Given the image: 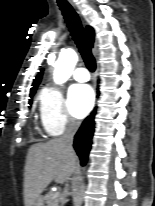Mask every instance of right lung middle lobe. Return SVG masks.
<instances>
[{"label":"right lung middle lobe","instance_id":"1","mask_svg":"<svg viewBox=\"0 0 155 206\" xmlns=\"http://www.w3.org/2000/svg\"><path fill=\"white\" fill-rule=\"evenodd\" d=\"M34 94H30V97H32ZM30 104H31V100H30Z\"/></svg>","mask_w":155,"mask_h":206}]
</instances>
